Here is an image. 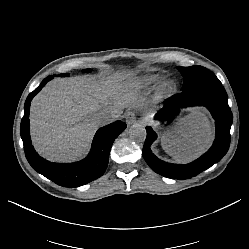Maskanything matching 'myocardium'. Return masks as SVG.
Listing matches in <instances>:
<instances>
[{
    "mask_svg": "<svg viewBox=\"0 0 249 249\" xmlns=\"http://www.w3.org/2000/svg\"><path fill=\"white\" fill-rule=\"evenodd\" d=\"M175 85L172 81H166L161 84L160 88L158 89V98L159 99H166L171 97L174 93Z\"/></svg>",
    "mask_w": 249,
    "mask_h": 249,
    "instance_id": "myocardium-1",
    "label": "myocardium"
}]
</instances>
